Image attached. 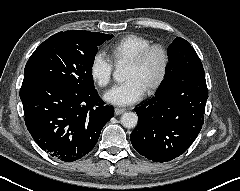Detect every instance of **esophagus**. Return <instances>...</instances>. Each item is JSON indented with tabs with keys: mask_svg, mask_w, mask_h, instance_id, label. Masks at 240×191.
<instances>
[{
	"mask_svg": "<svg viewBox=\"0 0 240 191\" xmlns=\"http://www.w3.org/2000/svg\"><path fill=\"white\" fill-rule=\"evenodd\" d=\"M125 111H126L125 108H118V107H116L114 109V112H115L116 115H120V114L124 113Z\"/></svg>",
	"mask_w": 240,
	"mask_h": 191,
	"instance_id": "esophagus-1",
	"label": "esophagus"
}]
</instances>
